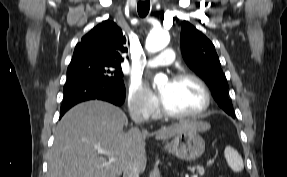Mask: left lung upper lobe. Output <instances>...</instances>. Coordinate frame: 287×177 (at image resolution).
<instances>
[{"mask_svg":"<svg viewBox=\"0 0 287 177\" xmlns=\"http://www.w3.org/2000/svg\"><path fill=\"white\" fill-rule=\"evenodd\" d=\"M181 51L187 65L209 86L218 105L235 118L226 77L213 43L187 21L181 23Z\"/></svg>","mask_w":287,"mask_h":177,"instance_id":"obj_1","label":"left lung upper lobe"}]
</instances>
